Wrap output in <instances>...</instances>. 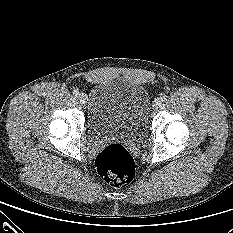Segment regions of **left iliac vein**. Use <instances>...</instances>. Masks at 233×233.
Listing matches in <instances>:
<instances>
[{
    "label": "left iliac vein",
    "mask_w": 233,
    "mask_h": 233,
    "mask_svg": "<svg viewBox=\"0 0 233 233\" xmlns=\"http://www.w3.org/2000/svg\"><path fill=\"white\" fill-rule=\"evenodd\" d=\"M162 102L161 98H156L152 104L153 109H158L162 105Z\"/></svg>",
    "instance_id": "left-iliac-vein-1"
}]
</instances>
